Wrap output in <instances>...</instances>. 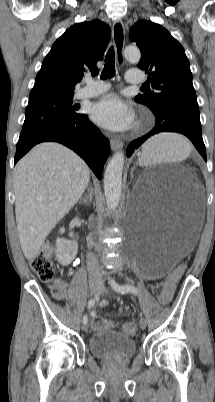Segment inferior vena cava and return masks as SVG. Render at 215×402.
Instances as JSON below:
<instances>
[{"instance_id": "inferior-vena-cava-1", "label": "inferior vena cava", "mask_w": 215, "mask_h": 402, "mask_svg": "<svg viewBox=\"0 0 215 402\" xmlns=\"http://www.w3.org/2000/svg\"><path fill=\"white\" fill-rule=\"evenodd\" d=\"M87 268L90 282L100 283L102 279L101 269L98 265V259L91 253L87 256Z\"/></svg>"}]
</instances>
